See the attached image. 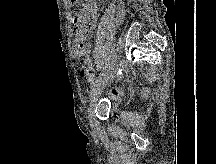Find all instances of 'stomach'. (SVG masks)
I'll list each match as a JSON object with an SVG mask.
<instances>
[{"label":"stomach","mask_w":216,"mask_h":164,"mask_svg":"<svg viewBox=\"0 0 216 164\" xmlns=\"http://www.w3.org/2000/svg\"><path fill=\"white\" fill-rule=\"evenodd\" d=\"M83 0H69V4L71 5H78L82 2Z\"/></svg>","instance_id":"obj_1"}]
</instances>
